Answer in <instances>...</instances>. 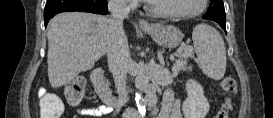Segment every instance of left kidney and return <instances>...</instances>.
I'll return each instance as SVG.
<instances>
[{"mask_svg": "<svg viewBox=\"0 0 273 118\" xmlns=\"http://www.w3.org/2000/svg\"><path fill=\"white\" fill-rule=\"evenodd\" d=\"M188 98L183 102L182 111L185 118H205L210 105L204 96L203 87L195 80L186 82Z\"/></svg>", "mask_w": 273, "mask_h": 118, "instance_id": "5707ae66", "label": "left kidney"}]
</instances>
